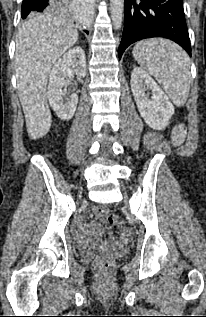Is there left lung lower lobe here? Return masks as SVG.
<instances>
[{"instance_id":"obj_1","label":"left lung lower lobe","mask_w":206,"mask_h":317,"mask_svg":"<svg viewBox=\"0 0 206 317\" xmlns=\"http://www.w3.org/2000/svg\"><path fill=\"white\" fill-rule=\"evenodd\" d=\"M124 12L119 58L130 44L151 37L171 39L191 56L182 0H124Z\"/></svg>"}]
</instances>
